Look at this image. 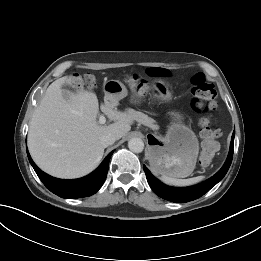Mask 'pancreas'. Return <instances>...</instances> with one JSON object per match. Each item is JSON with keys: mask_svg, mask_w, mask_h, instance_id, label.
Here are the masks:
<instances>
[{"mask_svg": "<svg viewBox=\"0 0 261 261\" xmlns=\"http://www.w3.org/2000/svg\"><path fill=\"white\" fill-rule=\"evenodd\" d=\"M128 114L132 119H135L136 121L145 126L152 128L156 127L154 124V120L142 112L135 111L134 109H129Z\"/></svg>", "mask_w": 261, "mask_h": 261, "instance_id": "pancreas-1", "label": "pancreas"}]
</instances>
